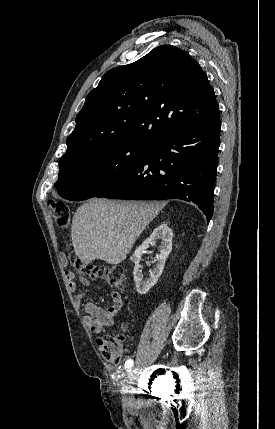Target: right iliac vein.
Instances as JSON below:
<instances>
[{
	"mask_svg": "<svg viewBox=\"0 0 275 429\" xmlns=\"http://www.w3.org/2000/svg\"><path fill=\"white\" fill-rule=\"evenodd\" d=\"M133 375H134V369H133V370H130V371L128 372V374H127L126 378H125V385H124V389H125L126 393H127L128 389H129V385H130V383H131V381H132V379H133ZM124 400H125V401H130V400H131V398H130V396H129V395L125 394V396H124Z\"/></svg>",
	"mask_w": 275,
	"mask_h": 429,
	"instance_id": "63e3f726",
	"label": "right iliac vein"
}]
</instances>
